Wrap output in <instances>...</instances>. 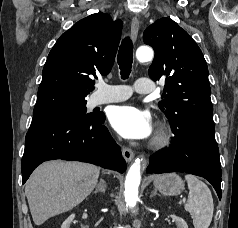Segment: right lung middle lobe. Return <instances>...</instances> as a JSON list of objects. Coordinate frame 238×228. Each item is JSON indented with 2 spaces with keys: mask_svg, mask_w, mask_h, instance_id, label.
I'll list each match as a JSON object with an SVG mask.
<instances>
[{
  "mask_svg": "<svg viewBox=\"0 0 238 228\" xmlns=\"http://www.w3.org/2000/svg\"><path fill=\"white\" fill-rule=\"evenodd\" d=\"M101 113H87L86 101L76 104H71L64 106L63 108L55 111L54 113L46 116H54V115H68L76 118H80L83 120H92L94 118L99 117Z\"/></svg>",
  "mask_w": 238,
  "mask_h": 228,
  "instance_id": "obj_1",
  "label": "right lung middle lobe"
}]
</instances>
